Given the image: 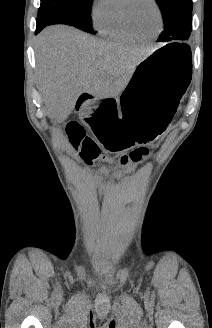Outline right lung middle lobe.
I'll return each instance as SVG.
<instances>
[{
  "label": "right lung middle lobe",
  "instance_id": "1",
  "mask_svg": "<svg viewBox=\"0 0 212 328\" xmlns=\"http://www.w3.org/2000/svg\"><path fill=\"white\" fill-rule=\"evenodd\" d=\"M93 0H41L37 24H68L95 34L91 25Z\"/></svg>",
  "mask_w": 212,
  "mask_h": 328
}]
</instances>
